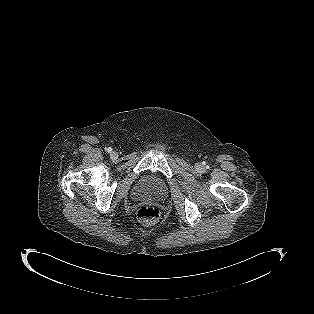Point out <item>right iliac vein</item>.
I'll list each match as a JSON object with an SVG mask.
<instances>
[{"label": "right iliac vein", "instance_id": "1", "mask_svg": "<svg viewBox=\"0 0 314 314\" xmlns=\"http://www.w3.org/2000/svg\"><path fill=\"white\" fill-rule=\"evenodd\" d=\"M110 156H111L112 159H116L117 156H118V154H117V152L112 151L111 154H110Z\"/></svg>", "mask_w": 314, "mask_h": 314}]
</instances>
